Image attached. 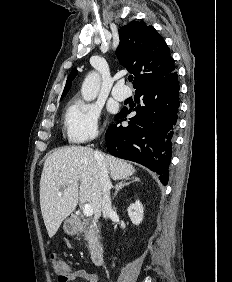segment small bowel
Wrapping results in <instances>:
<instances>
[{"label":"small bowel","instance_id":"1","mask_svg":"<svg viewBox=\"0 0 232 282\" xmlns=\"http://www.w3.org/2000/svg\"><path fill=\"white\" fill-rule=\"evenodd\" d=\"M81 280L82 282H99L98 275L88 269L72 270L67 275L65 282Z\"/></svg>","mask_w":232,"mask_h":282}]
</instances>
